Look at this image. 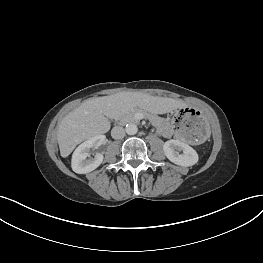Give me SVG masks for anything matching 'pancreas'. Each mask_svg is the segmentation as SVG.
Returning <instances> with one entry per match:
<instances>
[{
	"label": "pancreas",
	"mask_w": 263,
	"mask_h": 263,
	"mask_svg": "<svg viewBox=\"0 0 263 263\" xmlns=\"http://www.w3.org/2000/svg\"><path fill=\"white\" fill-rule=\"evenodd\" d=\"M136 112H141V110L135 108L133 110H130V111L126 112L125 114H123L120 117V119H119L120 122L121 123H126L128 121H134L135 120L134 115H135ZM146 116H147V118L151 121V123L154 126L158 127L160 125L161 120L157 116H154V115H151V114H146Z\"/></svg>",
	"instance_id": "obj_1"
}]
</instances>
